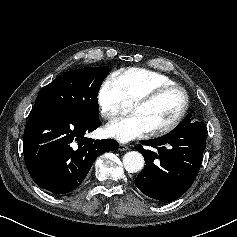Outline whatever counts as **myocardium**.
<instances>
[{
    "label": "myocardium",
    "mask_w": 237,
    "mask_h": 237,
    "mask_svg": "<svg viewBox=\"0 0 237 237\" xmlns=\"http://www.w3.org/2000/svg\"><path fill=\"white\" fill-rule=\"evenodd\" d=\"M174 90L179 91L182 94V97H183L182 107H181L180 111L178 112V114L176 115V117L169 124L159 127L157 129L151 130L149 132L151 136L156 137V136H161V135L167 134V133L173 131L180 124V122L184 118V116L188 110V107H189L188 92L186 91L185 88H183L182 86L177 85V84L163 85V86L154 88L153 90L144 94L143 96L139 97L137 100H135L133 102L134 106L149 104V103L153 102L154 100H156L161 95H163L169 91H174Z\"/></svg>",
    "instance_id": "f54148a6"
}]
</instances>
